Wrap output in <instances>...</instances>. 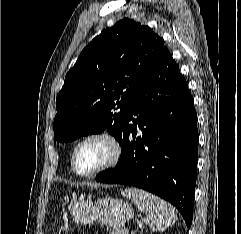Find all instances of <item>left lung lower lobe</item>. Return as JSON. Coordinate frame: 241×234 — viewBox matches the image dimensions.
Masks as SVG:
<instances>
[{"mask_svg": "<svg viewBox=\"0 0 241 234\" xmlns=\"http://www.w3.org/2000/svg\"><path fill=\"white\" fill-rule=\"evenodd\" d=\"M197 144L193 98L166 48L129 106L118 164L96 180L133 185L160 196L180 211L190 228Z\"/></svg>", "mask_w": 241, "mask_h": 234, "instance_id": "obj_1", "label": "left lung lower lobe"}]
</instances>
